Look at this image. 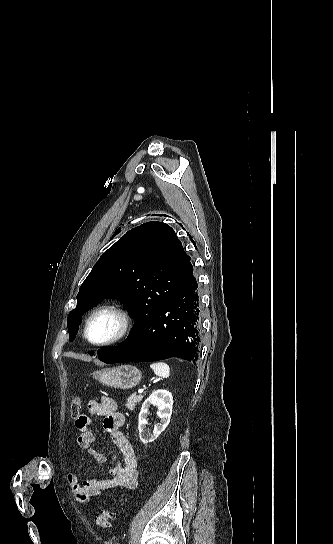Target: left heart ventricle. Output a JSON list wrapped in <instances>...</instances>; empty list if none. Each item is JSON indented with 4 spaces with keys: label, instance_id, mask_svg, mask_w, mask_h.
Segmentation results:
<instances>
[{
    "label": "left heart ventricle",
    "instance_id": "left-heart-ventricle-1",
    "mask_svg": "<svg viewBox=\"0 0 333 544\" xmlns=\"http://www.w3.org/2000/svg\"><path fill=\"white\" fill-rule=\"evenodd\" d=\"M118 328V318L111 312H102L92 320L88 335L92 341L102 342L113 337Z\"/></svg>",
    "mask_w": 333,
    "mask_h": 544
}]
</instances>
